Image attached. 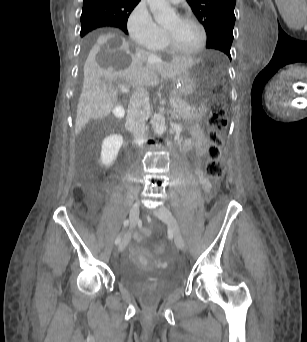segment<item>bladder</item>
<instances>
[{
    "instance_id": "1",
    "label": "bladder",
    "mask_w": 307,
    "mask_h": 342,
    "mask_svg": "<svg viewBox=\"0 0 307 342\" xmlns=\"http://www.w3.org/2000/svg\"><path fill=\"white\" fill-rule=\"evenodd\" d=\"M119 279L130 291L154 300L167 295L180 283V277L174 273L158 277L151 269L130 261L122 264Z\"/></svg>"
}]
</instances>
